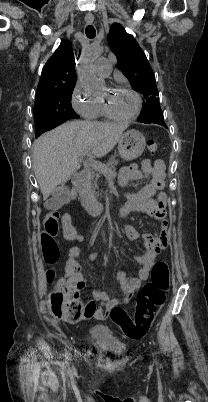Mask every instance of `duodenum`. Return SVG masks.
I'll use <instances>...</instances> for the list:
<instances>
[{"label":"duodenum","instance_id":"duodenum-1","mask_svg":"<svg viewBox=\"0 0 208 402\" xmlns=\"http://www.w3.org/2000/svg\"><path fill=\"white\" fill-rule=\"evenodd\" d=\"M85 173L84 172H77L72 177V183L75 189L79 193V199L86 210L92 212L94 214H99L102 212L103 205L102 203L96 201L94 198L88 196L84 190L83 186L85 184Z\"/></svg>","mask_w":208,"mask_h":402}]
</instances>
